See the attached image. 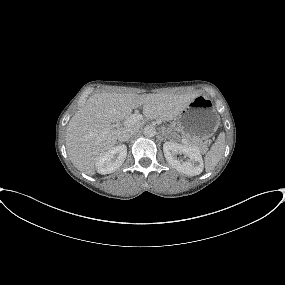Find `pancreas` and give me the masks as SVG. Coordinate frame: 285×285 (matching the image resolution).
Segmentation results:
<instances>
[{
    "mask_svg": "<svg viewBox=\"0 0 285 285\" xmlns=\"http://www.w3.org/2000/svg\"><path fill=\"white\" fill-rule=\"evenodd\" d=\"M169 131H172L171 129ZM187 137V136H186ZM189 138V137H187ZM191 140H188V144L192 145V146H195L197 147L198 149H200L203 153H205L207 150H208V147L207 145L202 142L201 140H198V139H192V138H189Z\"/></svg>",
    "mask_w": 285,
    "mask_h": 285,
    "instance_id": "pancreas-1",
    "label": "pancreas"
}]
</instances>
